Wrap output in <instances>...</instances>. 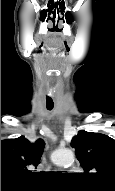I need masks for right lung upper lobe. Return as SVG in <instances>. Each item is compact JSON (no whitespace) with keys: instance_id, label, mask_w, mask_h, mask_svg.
<instances>
[{"instance_id":"right-lung-upper-lobe-1","label":"right lung upper lobe","mask_w":115,"mask_h":191,"mask_svg":"<svg viewBox=\"0 0 115 191\" xmlns=\"http://www.w3.org/2000/svg\"><path fill=\"white\" fill-rule=\"evenodd\" d=\"M44 141L30 143L24 136L1 140V189L14 187L29 175L28 167L39 164Z\"/></svg>"}]
</instances>
